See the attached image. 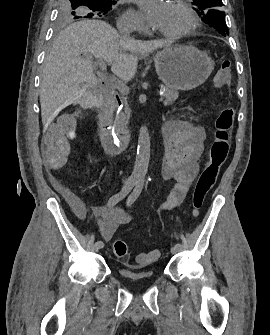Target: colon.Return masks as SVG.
Here are the masks:
<instances>
[{
  "label": "colon",
  "instance_id": "obj_1",
  "mask_svg": "<svg viewBox=\"0 0 270 335\" xmlns=\"http://www.w3.org/2000/svg\"><path fill=\"white\" fill-rule=\"evenodd\" d=\"M231 60H224L217 71L214 85L216 88L227 85L231 80ZM235 110L233 107H223L215 119V141L211 147L209 159L198 176L192 196V217L198 218L208 192L215 185L219 170L226 161L230 148V129L233 126ZM113 251L118 258L125 259L128 254L127 243L122 239L113 242ZM161 255L160 250L153 249L139 253L136 264L146 266L155 262Z\"/></svg>",
  "mask_w": 270,
  "mask_h": 335
}]
</instances>
